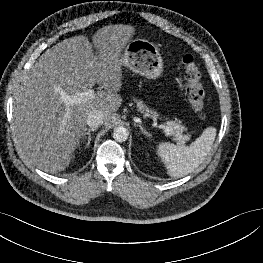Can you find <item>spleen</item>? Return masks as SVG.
I'll return each instance as SVG.
<instances>
[{
    "label": "spleen",
    "instance_id": "obj_1",
    "mask_svg": "<svg viewBox=\"0 0 263 263\" xmlns=\"http://www.w3.org/2000/svg\"><path fill=\"white\" fill-rule=\"evenodd\" d=\"M215 137L216 129L208 127L190 146L159 143L157 154L165 164L167 173L173 178H181L192 173L205 160Z\"/></svg>",
    "mask_w": 263,
    "mask_h": 263
}]
</instances>
